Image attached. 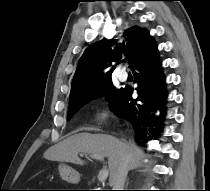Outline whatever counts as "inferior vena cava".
<instances>
[{
	"label": "inferior vena cava",
	"mask_w": 210,
	"mask_h": 191,
	"mask_svg": "<svg viewBox=\"0 0 210 191\" xmlns=\"http://www.w3.org/2000/svg\"><path fill=\"white\" fill-rule=\"evenodd\" d=\"M128 170V160L127 157H124L119 165L117 172L113 176L111 183L113 190H123Z\"/></svg>",
	"instance_id": "obj_1"
}]
</instances>
